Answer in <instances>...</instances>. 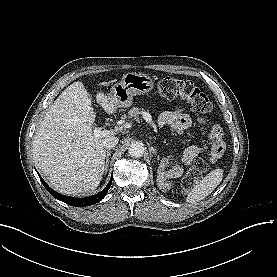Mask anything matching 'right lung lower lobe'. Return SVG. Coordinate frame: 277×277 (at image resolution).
<instances>
[{"instance_id": "obj_1", "label": "right lung lower lobe", "mask_w": 277, "mask_h": 277, "mask_svg": "<svg viewBox=\"0 0 277 277\" xmlns=\"http://www.w3.org/2000/svg\"><path fill=\"white\" fill-rule=\"evenodd\" d=\"M38 173V172H37ZM38 176L41 180V182L43 183L44 187L47 189V191L56 199L65 202L66 204H69L71 206H75V207H85V206H89V205H93L95 203H98L100 200H102L108 190L110 189L111 183H112V178L113 176H111V179L109 181V183L107 184L106 188L104 190H102L101 192H99L98 194L92 195L90 197H85V198H72L70 196H64L61 195L57 192H55L53 189H51L46 182L42 179V177L39 175Z\"/></svg>"}]
</instances>
